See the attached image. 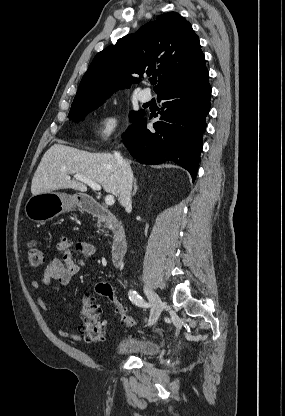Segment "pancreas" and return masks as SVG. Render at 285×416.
Segmentation results:
<instances>
[{
  "mask_svg": "<svg viewBox=\"0 0 285 416\" xmlns=\"http://www.w3.org/2000/svg\"><path fill=\"white\" fill-rule=\"evenodd\" d=\"M97 224H98V228H101L102 226L101 220H98ZM104 228H109V224H105ZM101 232H104V234H106L105 230H101Z\"/></svg>",
  "mask_w": 285,
  "mask_h": 416,
  "instance_id": "obj_1",
  "label": "pancreas"
}]
</instances>
